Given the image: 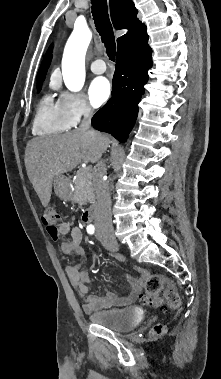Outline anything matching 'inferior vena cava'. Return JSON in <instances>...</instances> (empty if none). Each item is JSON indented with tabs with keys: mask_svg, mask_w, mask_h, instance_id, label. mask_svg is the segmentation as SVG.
<instances>
[{
	"mask_svg": "<svg viewBox=\"0 0 221 379\" xmlns=\"http://www.w3.org/2000/svg\"><path fill=\"white\" fill-rule=\"evenodd\" d=\"M84 118L79 126V130L93 132L90 130L92 110L86 106L83 112ZM106 174V164L102 159L97 161L93 171V182L97 199V214L95 226L97 229L113 230L111 217V198L108 183L103 179Z\"/></svg>",
	"mask_w": 221,
	"mask_h": 379,
	"instance_id": "obj_1",
	"label": "inferior vena cava"
}]
</instances>
